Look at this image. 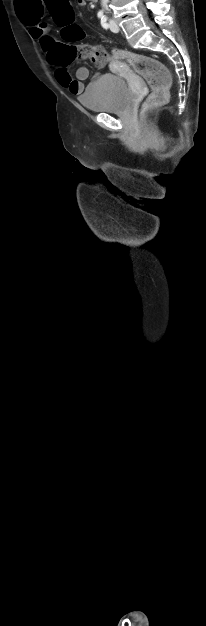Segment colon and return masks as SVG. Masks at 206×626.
<instances>
[{"label": "colon", "mask_w": 206, "mask_h": 626, "mask_svg": "<svg viewBox=\"0 0 206 626\" xmlns=\"http://www.w3.org/2000/svg\"><path fill=\"white\" fill-rule=\"evenodd\" d=\"M56 23L62 27V35L67 40H75L83 36L82 29L74 23V11L70 0H45ZM112 54L128 62L134 71L143 77L151 88V92L141 106L143 116L150 109L163 105L168 99L171 78L166 66L158 59L136 55L122 49H113ZM54 61L65 66L77 58L88 59L96 66L102 67L108 59L107 51L98 45H65L59 44L54 49Z\"/></svg>", "instance_id": "colon-1"}]
</instances>
